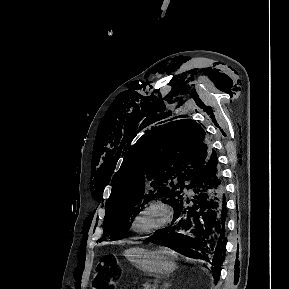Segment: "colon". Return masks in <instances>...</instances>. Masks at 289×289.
<instances>
[{
    "label": "colon",
    "instance_id": "obj_1",
    "mask_svg": "<svg viewBox=\"0 0 289 289\" xmlns=\"http://www.w3.org/2000/svg\"><path fill=\"white\" fill-rule=\"evenodd\" d=\"M118 271L109 256L101 259L97 266L92 289H113L118 282Z\"/></svg>",
    "mask_w": 289,
    "mask_h": 289
}]
</instances>
